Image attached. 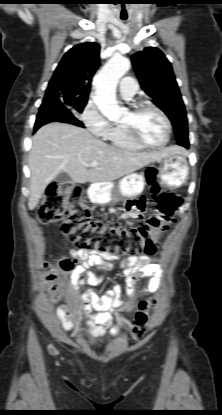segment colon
<instances>
[{
    "mask_svg": "<svg viewBox=\"0 0 222 415\" xmlns=\"http://www.w3.org/2000/svg\"><path fill=\"white\" fill-rule=\"evenodd\" d=\"M147 180L156 199L155 212L144 223L135 226L114 227L91 218L90 209L83 201L80 186L67 182L51 183L37 211L41 223H60L63 234L80 250L98 254L125 256L151 255L155 252L162 234L167 231L180 199L173 193L164 191L156 183L155 172L147 170ZM147 200L137 203L140 210L147 209ZM73 262L66 259L62 269L69 270ZM55 275L48 277L54 281ZM152 302L142 301L135 316L133 334L141 337L150 319Z\"/></svg>",
    "mask_w": 222,
    "mask_h": 415,
    "instance_id": "obj_1",
    "label": "colon"
}]
</instances>
